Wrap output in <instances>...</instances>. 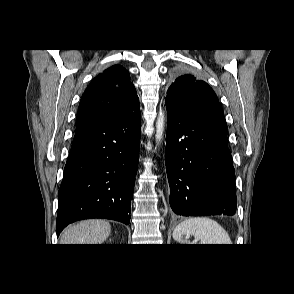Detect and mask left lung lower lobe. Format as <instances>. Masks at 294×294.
Masks as SVG:
<instances>
[{"label": "left lung lower lobe", "mask_w": 294, "mask_h": 294, "mask_svg": "<svg viewBox=\"0 0 294 294\" xmlns=\"http://www.w3.org/2000/svg\"><path fill=\"white\" fill-rule=\"evenodd\" d=\"M166 107L172 210L183 216L234 215L235 170L224 115H189L167 102Z\"/></svg>", "instance_id": "obj_1"}]
</instances>
